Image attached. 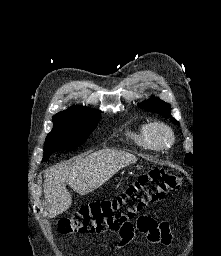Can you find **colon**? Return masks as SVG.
<instances>
[{
    "label": "colon",
    "instance_id": "5ec220e1",
    "mask_svg": "<svg viewBox=\"0 0 221 256\" xmlns=\"http://www.w3.org/2000/svg\"><path fill=\"white\" fill-rule=\"evenodd\" d=\"M182 184L180 176L166 169L153 168L141 174L118 196L83 205L61 219L58 231L61 234H73L125 230L147 206L161 202Z\"/></svg>",
    "mask_w": 221,
    "mask_h": 256
}]
</instances>
